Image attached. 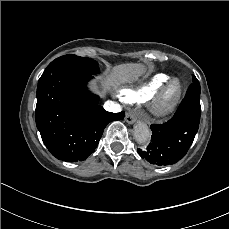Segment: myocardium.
Listing matches in <instances>:
<instances>
[{
	"instance_id": "obj_1",
	"label": "myocardium",
	"mask_w": 229,
	"mask_h": 229,
	"mask_svg": "<svg viewBox=\"0 0 229 229\" xmlns=\"http://www.w3.org/2000/svg\"><path fill=\"white\" fill-rule=\"evenodd\" d=\"M184 94V87L180 80H171L160 93L154 103L153 111L157 116H165L174 111Z\"/></svg>"
}]
</instances>
